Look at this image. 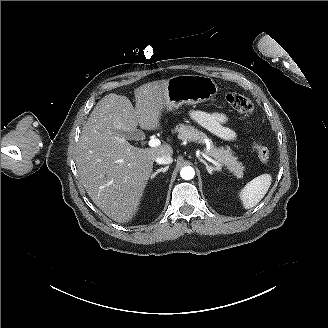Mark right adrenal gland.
<instances>
[{
	"instance_id": "right-adrenal-gland-1",
	"label": "right adrenal gland",
	"mask_w": 328,
	"mask_h": 328,
	"mask_svg": "<svg viewBox=\"0 0 328 328\" xmlns=\"http://www.w3.org/2000/svg\"><path fill=\"white\" fill-rule=\"evenodd\" d=\"M168 168H169V166H166L164 168L158 169L154 174H152L151 177L154 178L158 173H160V172H166L168 170Z\"/></svg>"
}]
</instances>
